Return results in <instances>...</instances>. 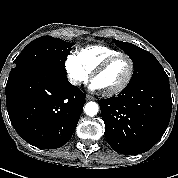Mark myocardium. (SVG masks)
Listing matches in <instances>:
<instances>
[{
	"mask_svg": "<svg viewBox=\"0 0 178 178\" xmlns=\"http://www.w3.org/2000/svg\"><path fill=\"white\" fill-rule=\"evenodd\" d=\"M120 58H126L128 60L129 63V72L128 75L125 79V81L120 84L119 86H117L114 89L108 90V91H103V94L105 96H114L117 95L121 92H123L131 83L133 76H134V71H135V63L133 58L126 54V53H119L116 55H112L110 57H108L107 59H105L103 62H101L92 72V81L94 82V80L96 79V77L101 74L102 72H104L111 64H113L115 61H117Z\"/></svg>",
	"mask_w": 178,
	"mask_h": 178,
	"instance_id": "obj_1",
	"label": "myocardium"
}]
</instances>
